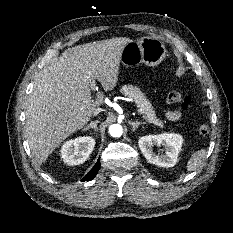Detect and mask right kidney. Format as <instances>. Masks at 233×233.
Masks as SVG:
<instances>
[{"label":"right kidney","instance_id":"right-kidney-1","mask_svg":"<svg viewBox=\"0 0 233 233\" xmlns=\"http://www.w3.org/2000/svg\"><path fill=\"white\" fill-rule=\"evenodd\" d=\"M94 146L95 140L90 136L68 140L61 147V158L68 165L82 164L88 159Z\"/></svg>","mask_w":233,"mask_h":233}]
</instances>
